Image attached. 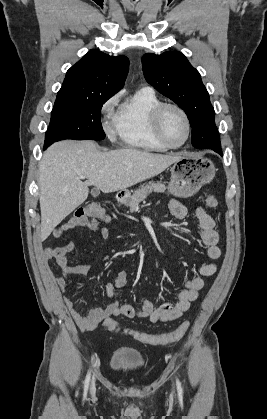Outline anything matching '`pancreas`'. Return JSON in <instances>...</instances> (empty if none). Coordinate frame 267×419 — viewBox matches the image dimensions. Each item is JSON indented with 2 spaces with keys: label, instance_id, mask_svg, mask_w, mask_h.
I'll list each match as a JSON object with an SVG mask.
<instances>
[{
  "label": "pancreas",
  "instance_id": "1",
  "mask_svg": "<svg viewBox=\"0 0 267 419\" xmlns=\"http://www.w3.org/2000/svg\"><path fill=\"white\" fill-rule=\"evenodd\" d=\"M166 190V186L162 184L161 182H153L150 181L149 183L142 185L138 190H136L132 197L130 202V211H136L139 209V203L142 202L149 193L151 192H157V193H163Z\"/></svg>",
  "mask_w": 267,
  "mask_h": 419
}]
</instances>
